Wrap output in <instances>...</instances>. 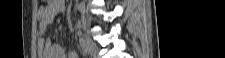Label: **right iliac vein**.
Masks as SVG:
<instances>
[{
	"label": "right iliac vein",
	"mask_w": 225,
	"mask_h": 58,
	"mask_svg": "<svg viewBox=\"0 0 225 58\" xmlns=\"http://www.w3.org/2000/svg\"><path fill=\"white\" fill-rule=\"evenodd\" d=\"M83 40L85 42L87 53L91 54L92 56H96L98 54V49L93 40L90 39L87 35H84Z\"/></svg>",
	"instance_id": "1"
}]
</instances>
